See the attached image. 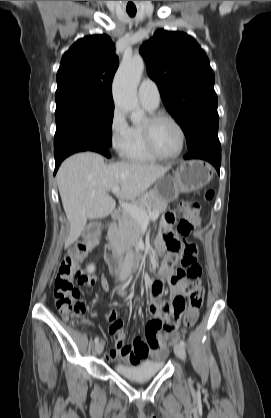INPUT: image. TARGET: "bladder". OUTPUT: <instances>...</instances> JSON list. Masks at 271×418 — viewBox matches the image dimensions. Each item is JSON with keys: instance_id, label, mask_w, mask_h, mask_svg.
Listing matches in <instances>:
<instances>
[{"instance_id": "obj_1", "label": "bladder", "mask_w": 271, "mask_h": 418, "mask_svg": "<svg viewBox=\"0 0 271 418\" xmlns=\"http://www.w3.org/2000/svg\"><path fill=\"white\" fill-rule=\"evenodd\" d=\"M163 360L145 361L139 364L118 363L116 373L133 382H145L156 376L163 368Z\"/></svg>"}]
</instances>
